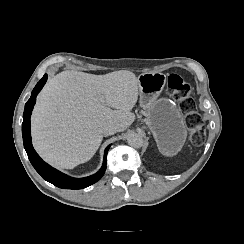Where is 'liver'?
I'll return each instance as SVG.
<instances>
[{"mask_svg":"<svg viewBox=\"0 0 244 244\" xmlns=\"http://www.w3.org/2000/svg\"><path fill=\"white\" fill-rule=\"evenodd\" d=\"M138 95V78L130 71L61 72L47 83L34 109L35 149L59 168L88 161L104 138L105 124H114L117 132L133 124Z\"/></svg>","mask_w":244,"mask_h":244,"instance_id":"1","label":"liver"}]
</instances>
